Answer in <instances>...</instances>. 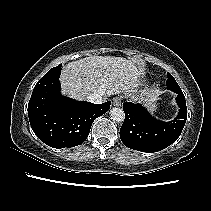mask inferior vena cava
<instances>
[{"instance_id": "1", "label": "inferior vena cava", "mask_w": 211, "mask_h": 211, "mask_svg": "<svg viewBox=\"0 0 211 211\" xmlns=\"http://www.w3.org/2000/svg\"><path fill=\"white\" fill-rule=\"evenodd\" d=\"M87 101L91 102V103H94V104H100L103 102L104 100V95L102 94H91L89 96H87Z\"/></svg>"}]
</instances>
